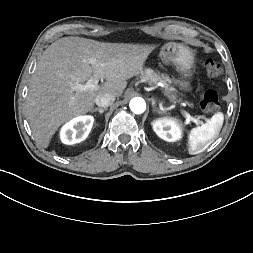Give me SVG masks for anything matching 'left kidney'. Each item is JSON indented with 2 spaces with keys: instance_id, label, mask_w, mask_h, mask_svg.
<instances>
[{
  "instance_id": "obj_1",
  "label": "left kidney",
  "mask_w": 253,
  "mask_h": 253,
  "mask_svg": "<svg viewBox=\"0 0 253 253\" xmlns=\"http://www.w3.org/2000/svg\"><path fill=\"white\" fill-rule=\"evenodd\" d=\"M155 133L163 140L174 142L181 138L180 125L169 118H160L152 122Z\"/></svg>"
}]
</instances>
